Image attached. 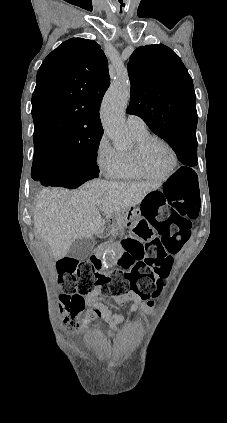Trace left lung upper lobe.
<instances>
[{
  "label": "left lung upper lobe",
  "mask_w": 227,
  "mask_h": 423,
  "mask_svg": "<svg viewBox=\"0 0 227 423\" xmlns=\"http://www.w3.org/2000/svg\"><path fill=\"white\" fill-rule=\"evenodd\" d=\"M129 114L141 117L169 144L196 136L197 111L192 78L179 56L163 44L137 48L130 57Z\"/></svg>",
  "instance_id": "1"
}]
</instances>
